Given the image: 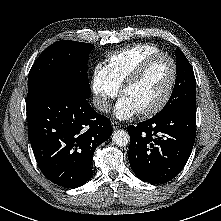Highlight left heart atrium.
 <instances>
[{
    "label": "left heart atrium",
    "instance_id": "39dd6f15",
    "mask_svg": "<svg viewBox=\"0 0 221 221\" xmlns=\"http://www.w3.org/2000/svg\"><path fill=\"white\" fill-rule=\"evenodd\" d=\"M138 112L137 106L124 95L121 96L114 108V115L118 119H128Z\"/></svg>",
    "mask_w": 221,
    "mask_h": 221
}]
</instances>
